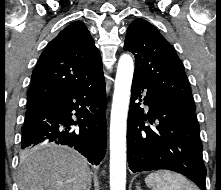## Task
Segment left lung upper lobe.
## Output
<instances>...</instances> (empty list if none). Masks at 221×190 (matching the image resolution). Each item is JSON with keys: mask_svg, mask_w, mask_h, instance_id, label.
Segmentation results:
<instances>
[{"mask_svg": "<svg viewBox=\"0 0 221 190\" xmlns=\"http://www.w3.org/2000/svg\"><path fill=\"white\" fill-rule=\"evenodd\" d=\"M123 49L135 55L134 77L180 107L195 111L183 64L175 49L151 23L135 19L127 29Z\"/></svg>", "mask_w": 221, "mask_h": 190, "instance_id": "5c2ea615", "label": "left lung upper lobe"}]
</instances>
